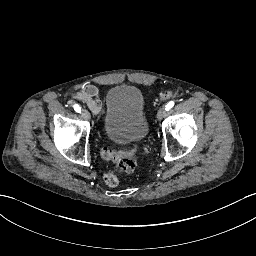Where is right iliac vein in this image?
I'll use <instances>...</instances> for the list:
<instances>
[{
	"mask_svg": "<svg viewBox=\"0 0 256 256\" xmlns=\"http://www.w3.org/2000/svg\"><path fill=\"white\" fill-rule=\"evenodd\" d=\"M81 116L86 119V120H90L91 116L90 113L87 110H82L81 111Z\"/></svg>",
	"mask_w": 256,
	"mask_h": 256,
	"instance_id": "1",
	"label": "right iliac vein"
}]
</instances>
